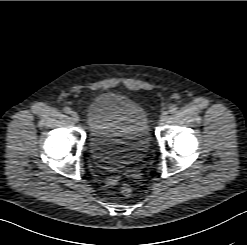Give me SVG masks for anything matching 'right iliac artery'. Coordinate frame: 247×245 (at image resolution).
<instances>
[{
    "instance_id": "82829eb1",
    "label": "right iliac artery",
    "mask_w": 247,
    "mask_h": 245,
    "mask_svg": "<svg viewBox=\"0 0 247 245\" xmlns=\"http://www.w3.org/2000/svg\"><path fill=\"white\" fill-rule=\"evenodd\" d=\"M64 112H65L66 114H70V113H71V109H70L69 107H65V108H64Z\"/></svg>"
}]
</instances>
